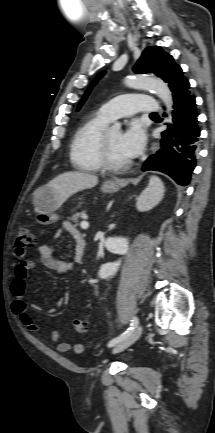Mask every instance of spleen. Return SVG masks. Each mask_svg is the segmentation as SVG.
Masks as SVG:
<instances>
[{"mask_svg": "<svg viewBox=\"0 0 215 433\" xmlns=\"http://www.w3.org/2000/svg\"><path fill=\"white\" fill-rule=\"evenodd\" d=\"M165 188L160 178L152 176L148 187L142 192L137 200V209L147 211L157 205L164 196Z\"/></svg>", "mask_w": 215, "mask_h": 433, "instance_id": "obj_1", "label": "spleen"}]
</instances>
